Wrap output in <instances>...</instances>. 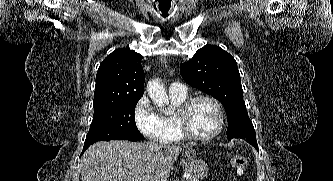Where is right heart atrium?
Masks as SVG:
<instances>
[{
  "label": "right heart atrium",
  "mask_w": 333,
  "mask_h": 181,
  "mask_svg": "<svg viewBox=\"0 0 333 181\" xmlns=\"http://www.w3.org/2000/svg\"><path fill=\"white\" fill-rule=\"evenodd\" d=\"M133 118L137 129L148 139L161 141L168 132V127L161 115L154 110L145 96L136 102Z\"/></svg>",
  "instance_id": "obj_1"
}]
</instances>
